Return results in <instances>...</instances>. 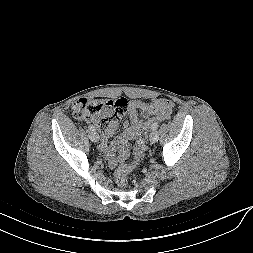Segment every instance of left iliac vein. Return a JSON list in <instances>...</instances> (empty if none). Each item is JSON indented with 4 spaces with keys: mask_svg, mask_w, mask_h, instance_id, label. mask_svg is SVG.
Here are the masks:
<instances>
[{
    "mask_svg": "<svg viewBox=\"0 0 253 253\" xmlns=\"http://www.w3.org/2000/svg\"><path fill=\"white\" fill-rule=\"evenodd\" d=\"M158 141V132L156 130H152L150 134V142L155 143Z\"/></svg>",
    "mask_w": 253,
    "mask_h": 253,
    "instance_id": "4c4485c4",
    "label": "left iliac vein"
}]
</instances>
